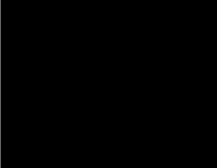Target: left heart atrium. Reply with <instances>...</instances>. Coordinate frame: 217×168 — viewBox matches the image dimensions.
Masks as SVG:
<instances>
[{
    "mask_svg": "<svg viewBox=\"0 0 217 168\" xmlns=\"http://www.w3.org/2000/svg\"><path fill=\"white\" fill-rule=\"evenodd\" d=\"M116 80H117L116 77L107 76V77H104L102 82L103 84H110V83L116 82Z\"/></svg>",
    "mask_w": 217,
    "mask_h": 168,
    "instance_id": "39dd6f15",
    "label": "left heart atrium"
}]
</instances>
